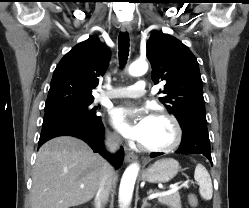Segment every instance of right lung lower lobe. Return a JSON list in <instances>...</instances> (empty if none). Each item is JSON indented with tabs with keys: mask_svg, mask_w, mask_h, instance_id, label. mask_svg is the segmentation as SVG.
Listing matches in <instances>:
<instances>
[{
	"mask_svg": "<svg viewBox=\"0 0 249 208\" xmlns=\"http://www.w3.org/2000/svg\"><path fill=\"white\" fill-rule=\"evenodd\" d=\"M63 135L74 136L84 140L94 152L103 155L116 169L123 163L124 153L122 151L114 155L105 151L102 141L103 124L100 117L90 121L74 116L46 114L43 118L38 148L46 141Z\"/></svg>",
	"mask_w": 249,
	"mask_h": 208,
	"instance_id": "obj_1",
	"label": "right lung lower lobe"
}]
</instances>
